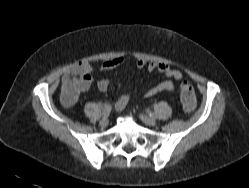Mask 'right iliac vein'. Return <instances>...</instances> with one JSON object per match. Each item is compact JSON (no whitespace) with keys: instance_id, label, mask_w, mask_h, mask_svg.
<instances>
[{"instance_id":"63e3f726","label":"right iliac vein","mask_w":249,"mask_h":188,"mask_svg":"<svg viewBox=\"0 0 249 188\" xmlns=\"http://www.w3.org/2000/svg\"><path fill=\"white\" fill-rule=\"evenodd\" d=\"M108 124H109V119H108L107 117L101 119L100 125H101L102 127H106Z\"/></svg>"}]
</instances>
